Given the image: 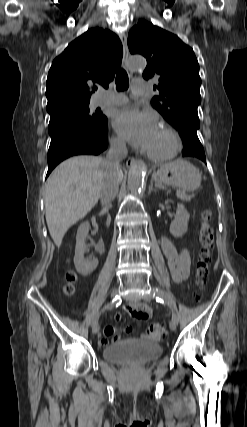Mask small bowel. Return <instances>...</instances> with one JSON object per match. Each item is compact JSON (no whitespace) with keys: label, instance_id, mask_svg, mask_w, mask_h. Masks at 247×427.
<instances>
[{"label":"small bowel","instance_id":"c3829d8e","mask_svg":"<svg viewBox=\"0 0 247 427\" xmlns=\"http://www.w3.org/2000/svg\"><path fill=\"white\" fill-rule=\"evenodd\" d=\"M161 248L168 261L169 270L172 278L176 282H182L187 279L190 271V253L187 249H178L168 238H161ZM125 310L133 318L138 320H148L152 316V309L146 304L131 302L125 306ZM122 315L120 312L115 314V320L120 321ZM125 333L129 334L132 331L131 327L125 328ZM111 338L112 342L117 343L121 340L120 333L117 332L114 326L107 325L104 328V337L101 339V345H106L108 339ZM142 339L151 338L149 335H142Z\"/></svg>","mask_w":247,"mask_h":427}]
</instances>
